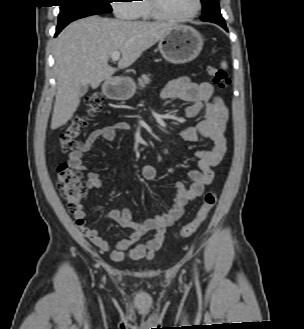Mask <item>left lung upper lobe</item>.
Here are the masks:
<instances>
[{"label":"left lung upper lobe","instance_id":"obj_1","mask_svg":"<svg viewBox=\"0 0 304 329\" xmlns=\"http://www.w3.org/2000/svg\"><path fill=\"white\" fill-rule=\"evenodd\" d=\"M219 0H201L203 11L207 10L211 5L218 3Z\"/></svg>","mask_w":304,"mask_h":329}]
</instances>
